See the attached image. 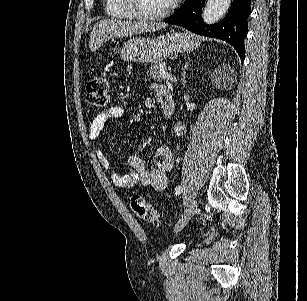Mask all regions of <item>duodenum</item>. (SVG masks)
Returning a JSON list of instances; mask_svg holds the SVG:
<instances>
[{
	"instance_id": "duodenum-1",
	"label": "duodenum",
	"mask_w": 307,
	"mask_h": 301,
	"mask_svg": "<svg viewBox=\"0 0 307 301\" xmlns=\"http://www.w3.org/2000/svg\"><path fill=\"white\" fill-rule=\"evenodd\" d=\"M158 101L160 103L163 115L166 118H170L175 110V102L172 93L169 90L163 91L158 95Z\"/></svg>"
}]
</instances>
